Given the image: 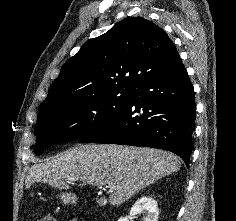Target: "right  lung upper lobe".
<instances>
[{"mask_svg": "<svg viewBox=\"0 0 236 221\" xmlns=\"http://www.w3.org/2000/svg\"><path fill=\"white\" fill-rule=\"evenodd\" d=\"M178 56L159 26L142 17L127 18L86 42L63 64L41 108L102 92L131 90Z\"/></svg>", "mask_w": 236, "mask_h": 221, "instance_id": "cb5924a9", "label": "right lung upper lobe"}]
</instances>
